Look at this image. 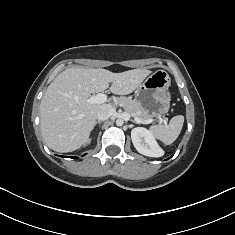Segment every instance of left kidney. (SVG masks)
Instances as JSON below:
<instances>
[{"label":"left kidney","instance_id":"left-kidney-1","mask_svg":"<svg viewBox=\"0 0 235 235\" xmlns=\"http://www.w3.org/2000/svg\"><path fill=\"white\" fill-rule=\"evenodd\" d=\"M131 139L136 150L145 156L161 157L164 151L159 147L153 133L143 127H136L131 131Z\"/></svg>","mask_w":235,"mask_h":235}]
</instances>
